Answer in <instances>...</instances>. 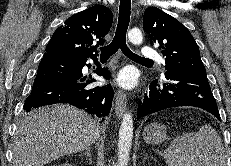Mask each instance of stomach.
<instances>
[{"mask_svg": "<svg viewBox=\"0 0 231 166\" xmlns=\"http://www.w3.org/2000/svg\"><path fill=\"white\" fill-rule=\"evenodd\" d=\"M167 129L161 123L147 125L143 131V139L148 144H160L166 139Z\"/></svg>", "mask_w": 231, "mask_h": 166, "instance_id": "obj_1", "label": "stomach"}]
</instances>
